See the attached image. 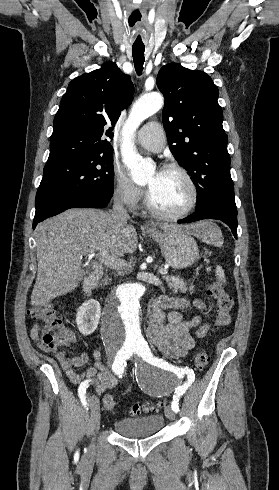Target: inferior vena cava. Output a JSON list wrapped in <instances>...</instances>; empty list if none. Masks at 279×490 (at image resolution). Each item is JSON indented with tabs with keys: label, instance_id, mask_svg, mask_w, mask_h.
Segmentation results:
<instances>
[{
	"label": "inferior vena cava",
	"instance_id": "obj_1",
	"mask_svg": "<svg viewBox=\"0 0 279 490\" xmlns=\"http://www.w3.org/2000/svg\"><path fill=\"white\" fill-rule=\"evenodd\" d=\"M111 216L113 220H119V222H122V224H127V220H129V214L127 210H124L123 200L121 196H119V198H114Z\"/></svg>",
	"mask_w": 279,
	"mask_h": 490
}]
</instances>
